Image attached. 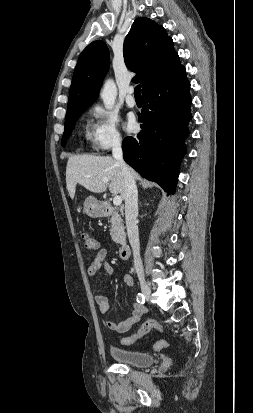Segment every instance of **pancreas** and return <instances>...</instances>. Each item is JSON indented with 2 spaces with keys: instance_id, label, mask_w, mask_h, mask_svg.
Returning a JSON list of instances; mask_svg holds the SVG:
<instances>
[{
  "instance_id": "1",
  "label": "pancreas",
  "mask_w": 253,
  "mask_h": 413,
  "mask_svg": "<svg viewBox=\"0 0 253 413\" xmlns=\"http://www.w3.org/2000/svg\"><path fill=\"white\" fill-rule=\"evenodd\" d=\"M110 223H111V238L112 240L117 243V244H122L125 242V231H124V225L123 221L118 214V212H113L111 218H110Z\"/></svg>"
}]
</instances>
